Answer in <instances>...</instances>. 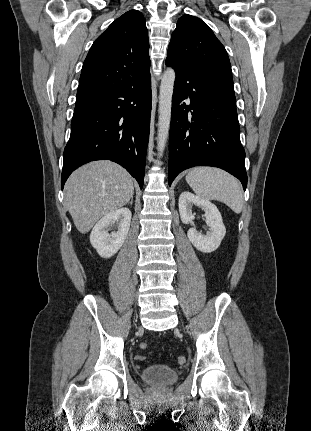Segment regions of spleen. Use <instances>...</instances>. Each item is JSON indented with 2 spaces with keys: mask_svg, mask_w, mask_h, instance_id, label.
<instances>
[{
  "mask_svg": "<svg viewBox=\"0 0 311 431\" xmlns=\"http://www.w3.org/2000/svg\"><path fill=\"white\" fill-rule=\"evenodd\" d=\"M196 196L203 200H218L241 214L244 198L242 188L233 176L219 168H193L185 178Z\"/></svg>",
  "mask_w": 311,
  "mask_h": 431,
  "instance_id": "1",
  "label": "spleen"
}]
</instances>
